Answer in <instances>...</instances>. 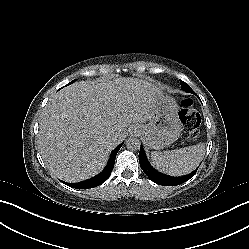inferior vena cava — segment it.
I'll return each instance as SVG.
<instances>
[{
    "mask_svg": "<svg viewBox=\"0 0 249 249\" xmlns=\"http://www.w3.org/2000/svg\"><path fill=\"white\" fill-rule=\"evenodd\" d=\"M117 138H118V135H115V137L113 138V141L118 140Z\"/></svg>",
    "mask_w": 249,
    "mask_h": 249,
    "instance_id": "602c4592",
    "label": "inferior vena cava"
}]
</instances>
